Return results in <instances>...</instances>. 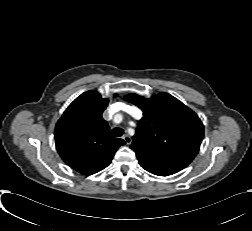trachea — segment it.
Returning a JSON list of instances; mask_svg holds the SVG:
<instances>
[{
	"label": "trachea",
	"instance_id": "obj_1",
	"mask_svg": "<svg viewBox=\"0 0 252 231\" xmlns=\"http://www.w3.org/2000/svg\"><path fill=\"white\" fill-rule=\"evenodd\" d=\"M124 133L123 129L122 128H114L112 129V135L115 136V137H120L122 136Z\"/></svg>",
	"mask_w": 252,
	"mask_h": 231
}]
</instances>
